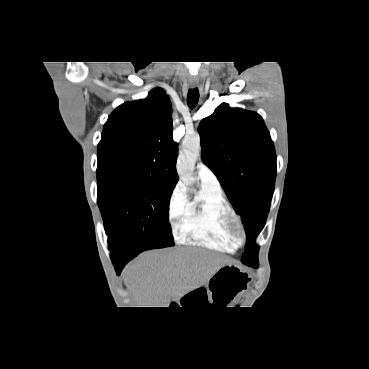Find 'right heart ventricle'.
I'll return each instance as SVG.
<instances>
[{
  "instance_id": "e07e8e85",
  "label": "right heart ventricle",
  "mask_w": 369,
  "mask_h": 369,
  "mask_svg": "<svg viewBox=\"0 0 369 369\" xmlns=\"http://www.w3.org/2000/svg\"><path fill=\"white\" fill-rule=\"evenodd\" d=\"M231 216L232 209L222 190L201 185L179 221V237L190 245L232 252L239 242L230 230Z\"/></svg>"
}]
</instances>
